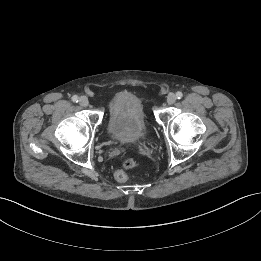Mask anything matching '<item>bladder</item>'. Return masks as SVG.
<instances>
[{"instance_id":"1","label":"bladder","mask_w":261,"mask_h":261,"mask_svg":"<svg viewBox=\"0 0 261 261\" xmlns=\"http://www.w3.org/2000/svg\"><path fill=\"white\" fill-rule=\"evenodd\" d=\"M108 132L120 142H135L146 134L143 105L138 96L129 91L116 94L109 105Z\"/></svg>"}]
</instances>
